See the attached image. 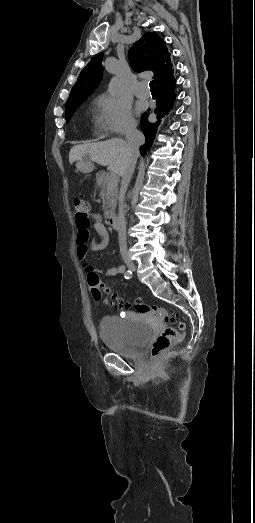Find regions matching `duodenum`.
<instances>
[{"mask_svg": "<svg viewBox=\"0 0 255 523\" xmlns=\"http://www.w3.org/2000/svg\"><path fill=\"white\" fill-rule=\"evenodd\" d=\"M106 223L109 227L116 229L118 227V217L115 214H109L106 216Z\"/></svg>", "mask_w": 255, "mask_h": 523, "instance_id": "obj_1", "label": "duodenum"}]
</instances>
